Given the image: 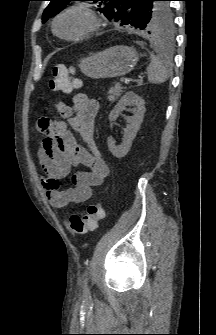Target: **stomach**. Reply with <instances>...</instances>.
I'll return each mask as SVG.
<instances>
[{
  "instance_id": "0dacf381",
  "label": "stomach",
  "mask_w": 216,
  "mask_h": 335,
  "mask_svg": "<svg viewBox=\"0 0 216 335\" xmlns=\"http://www.w3.org/2000/svg\"><path fill=\"white\" fill-rule=\"evenodd\" d=\"M139 55L134 47L119 45L80 60L79 68L92 79L120 77L134 69Z\"/></svg>"
}]
</instances>
